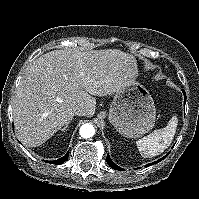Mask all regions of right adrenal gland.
I'll use <instances>...</instances> for the list:
<instances>
[{"instance_id": "obj_1", "label": "right adrenal gland", "mask_w": 199, "mask_h": 199, "mask_svg": "<svg viewBox=\"0 0 199 199\" xmlns=\"http://www.w3.org/2000/svg\"><path fill=\"white\" fill-rule=\"evenodd\" d=\"M72 120V119H71ZM71 120H69L66 125L61 129V131L65 132L67 130V128L69 127V124L71 122Z\"/></svg>"}]
</instances>
